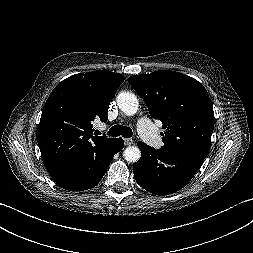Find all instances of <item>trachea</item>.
Masks as SVG:
<instances>
[{
    "label": "trachea",
    "mask_w": 253,
    "mask_h": 253,
    "mask_svg": "<svg viewBox=\"0 0 253 253\" xmlns=\"http://www.w3.org/2000/svg\"><path fill=\"white\" fill-rule=\"evenodd\" d=\"M99 134V131H96ZM108 135L112 137L122 136L124 138H130L133 135L132 129L127 126L114 125L108 131Z\"/></svg>",
    "instance_id": "obj_1"
}]
</instances>
